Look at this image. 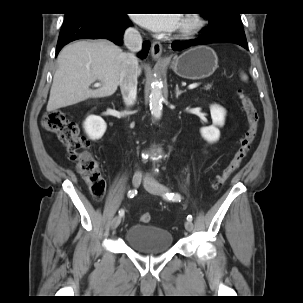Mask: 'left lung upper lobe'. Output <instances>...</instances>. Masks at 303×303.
Instances as JSON below:
<instances>
[{
	"label": "left lung upper lobe",
	"instance_id": "1",
	"mask_svg": "<svg viewBox=\"0 0 303 303\" xmlns=\"http://www.w3.org/2000/svg\"><path fill=\"white\" fill-rule=\"evenodd\" d=\"M204 17L209 19V25L203 29L204 33L244 32L239 13L205 14Z\"/></svg>",
	"mask_w": 303,
	"mask_h": 303
}]
</instances>
